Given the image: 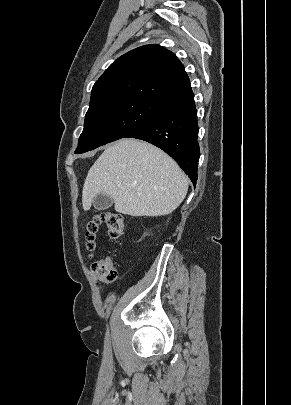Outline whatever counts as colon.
I'll list each match as a JSON object with an SVG mask.
<instances>
[{"mask_svg":"<svg viewBox=\"0 0 291 405\" xmlns=\"http://www.w3.org/2000/svg\"><path fill=\"white\" fill-rule=\"evenodd\" d=\"M106 225L108 235L111 239H118L124 232L125 222L121 214L117 212H106L92 216L85 223L86 247L93 252L96 247V235L101 225ZM92 275L103 283H112L117 279V272L110 257H104L92 264Z\"/></svg>","mask_w":291,"mask_h":405,"instance_id":"colon-1","label":"colon"}]
</instances>
